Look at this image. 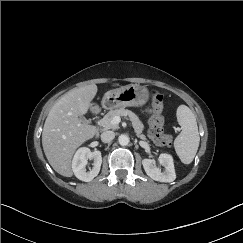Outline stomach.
I'll return each instance as SVG.
<instances>
[{
    "instance_id": "0dacf381",
    "label": "stomach",
    "mask_w": 243,
    "mask_h": 243,
    "mask_svg": "<svg viewBox=\"0 0 243 243\" xmlns=\"http://www.w3.org/2000/svg\"><path fill=\"white\" fill-rule=\"evenodd\" d=\"M149 99V92L145 86L130 84L112 90L109 95H104L102 105L105 108L116 107H141Z\"/></svg>"
}]
</instances>
